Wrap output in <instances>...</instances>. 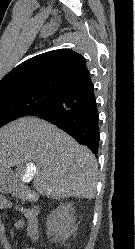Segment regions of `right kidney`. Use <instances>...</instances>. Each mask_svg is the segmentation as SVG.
<instances>
[{"label":"right kidney","mask_w":135,"mask_h":249,"mask_svg":"<svg viewBox=\"0 0 135 249\" xmlns=\"http://www.w3.org/2000/svg\"><path fill=\"white\" fill-rule=\"evenodd\" d=\"M73 204L65 202L54 210L47 218V236H54L52 241L67 240L76 229Z\"/></svg>","instance_id":"right-kidney-1"}]
</instances>
